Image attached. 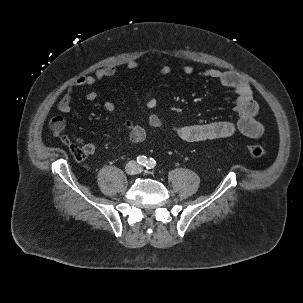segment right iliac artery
Here are the masks:
<instances>
[{
	"label": "right iliac artery",
	"instance_id": "82829eb1",
	"mask_svg": "<svg viewBox=\"0 0 303 303\" xmlns=\"http://www.w3.org/2000/svg\"><path fill=\"white\" fill-rule=\"evenodd\" d=\"M137 162L142 165V166H146V164L148 163L147 157L146 156H138L137 157Z\"/></svg>",
	"mask_w": 303,
	"mask_h": 303
}]
</instances>
